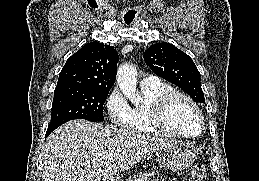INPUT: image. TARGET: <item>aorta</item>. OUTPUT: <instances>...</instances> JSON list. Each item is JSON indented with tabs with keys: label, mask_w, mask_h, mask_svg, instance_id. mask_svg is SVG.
I'll return each instance as SVG.
<instances>
[{
	"label": "aorta",
	"mask_w": 259,
	"mask_h": 181,
	"mask_svg": "<svg viewBox=\"0 0 259 181\" xmlns=\"http://www.w3.org/2000/svg\"><path fill=\"white\" fill-rule=\"evenodd\" d=\"M137 70L128 63L122 64L117 69V84L124 96L134 105H139L142 98L136 90Z\"/></svg>",
	"instance_id": "762f6f07"
}]
</instances>
